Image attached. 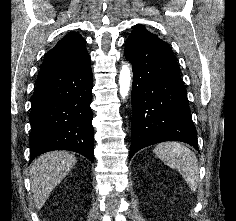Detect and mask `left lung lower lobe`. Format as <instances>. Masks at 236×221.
<instances>
[{"instance_id": "0a47b994", "label": "left lung lower lobe", "mask_w": 236, "mask_h": 221, "mask_svg": "<svg viewBox=\"0 0 236 221\" xmlns=\"http://www.w3.org/2000/svg\"><path fill=\"white\" fill-rule=\"evenodd\" d=\"M133 65L130 159L140 149L164 141H182L199 151L187 92L171 48L136 31L125 42Z\"/></svg>"}]
</instances>
